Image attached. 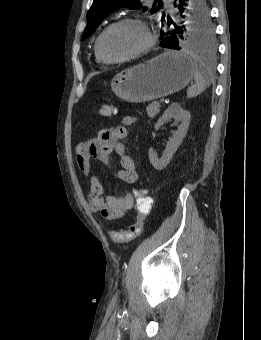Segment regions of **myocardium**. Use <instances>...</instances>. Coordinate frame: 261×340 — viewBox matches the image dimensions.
Wrapping results in <instances>:
<instances>
[{"instance_id": "obj_1", "label": "myocardium", "mask_w": 261, "mask_h": 340, "mask_svg": "<svg viewBox=\"0 0 261 340\" xmlns=\"http://www.w3.org/2000/svg\"><path fill=\"white\" fill-rule=\"evenodd\" d=\"M125 23H131V24H135V25L139 26L144 31L146 41L140 49H138L137 51H135V52H133L129 55L119 57V58H109L102 51V48H101L102 39L109 30H111L112 28H114L118 25L125 24ZM155 41H156V39H155L154 34L151 32L149 26L143 20L136 18V17H123L121 19H118V20L110 23L108 26H106L102 30V32L99 34V36L96 40L95 49H96L98 56L104 62H106V63H121V62H126V61H129V60L135 59V58L145 54L147 51H149L153 47V45L155 44Z\"/></svg>"}]
</instances>
